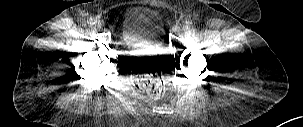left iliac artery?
I'll use <instances>...</instances> for the list:
<instances>
[{
	"instance_id": "left-iliac-artery-1",
	"label": "left iliac artery",
	"mask_w": 303,
	"mask_h": 127,
	"mask_svg": "<svg viewBox=\"0 0 303 127\" xmlns=\"http://www.w3.org/2000/svg\"><path fill=\"white\" fill-rule=\"evenodd\" d=\"M190 33L195 34V33H196V29L192 28V29L190 30Z\"/></svg>"
}]
</instances>
